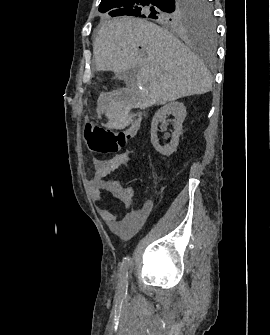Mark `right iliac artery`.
Returning <instances> with one entry per match:
<instances>
[{
  "label": "right iliac artery",
  "mask_w": 270,
  "mask_h": 335,
  "mask_svg": "<svg viewBox=\"0 0 270 335\" xmlns=\"http://www.w3.org/2000/svg\"><path fill=\"white\" fill-rule=\"evenodd\" d=\"M129 262H130V257L127 256L124 258L122 265H121L120 285H119V290L121 294H124L127 291Z\"/></svg>",
  "instance_id": "obj_1"
}]
</instances>
